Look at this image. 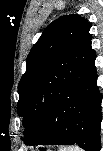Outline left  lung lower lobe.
<instances>
[{
    "instance_id": "left-lung-lower-lobe-1",
    "label": "left lung lower lobe",
    "mask_w": 103,
    "mask_h": 151,
    "mask_svg": "<svg viewBox=\"0 0 103 151\" xmlns=\"http://www.w3.org/2000/svg\"><path fill=\"white\" fill-rule=\"evenodd\" d=\"M91 38L85 33L31 81L23 116L26 145L76 144L100 151L102 96Z\"/></svg>"
}]
</instances>
